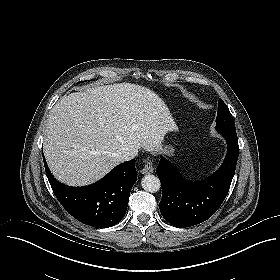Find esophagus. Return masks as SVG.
Returning a JSON list of instances; mask_svg holds the SVG:
<instances>
[{"label": "esophagus", "instance_id": "obj_1", "mask_svg": "<svg viewBox=\"0 0 280 280\" xmlns=\"http://www.w3.org/2000/svg\"><path fill=\"white\" fill-rule=\"evenodd\" d=\"M143 174H151L154 172V167L152 161L147 159L145 166L143 167L142 171Z\"/></svg>", "mask_w": 280, "mask_h": 280}]
</instances>
